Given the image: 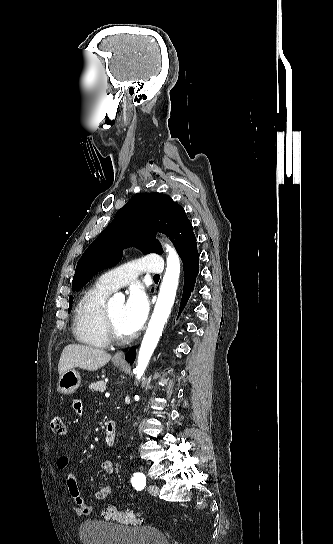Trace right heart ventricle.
Here are the masks:
<instances>
[{
  "label": "right heart ventricle",
  "instance_id": "e07e8e85",
  "mask_svg": "<svg viewBox=\"0 0 333 544\" xmlns=\"http://www.w3.org/2000/svg\"><path fill=\"white\" fill-rule=\"evenodd\" d=\"M111 292L97 282L79 299L73 322V333L79 342L97 348H104L109 344L104 311L106 298Z\"/></svg>",
  "mask_w": 333,
  "mask_h": 544
}]
</instances>
